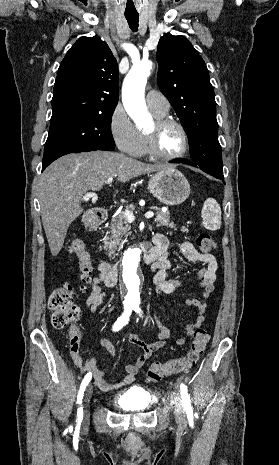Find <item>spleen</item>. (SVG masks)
<instances>
[{"instance_id":"spleen-1","label":"spleen","mask_w":279,"mask_h":465,"mask_svg":"<svg viewBox=\"0 0 279 465\" xmlns=\"http://www.w3.org/2000/svg\"><path fill=\"white\" fill-rule=\"evenodd\" d=\"M203 226L208 230H217L221 226V209L213 198H208L202 208Z\"/></svg>"}]
</instances>
